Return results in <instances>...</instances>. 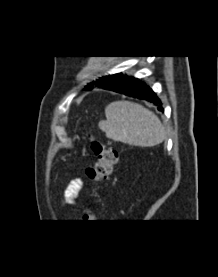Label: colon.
I'll use <instances>...</instances> for the list:
<instances>
[{"label":"colon","instance_id":"obj_1","mask_svg":"<svg viewBox=\"0 0 218 277\" xmlns=\"http://www.w3.org/2000/svg\"><path fill=\"white\" fill-rule=\"evenodd\" d=\"M91 149L95 156V164L86 170V175L92 182H104L113 171L114 165L118 160V153L95 137H91ZM93 218L94 215L90 211H86L83 215V220L85 221Z\"/></svg>","mask_w":218,"mask_h":277}]
</instances>
